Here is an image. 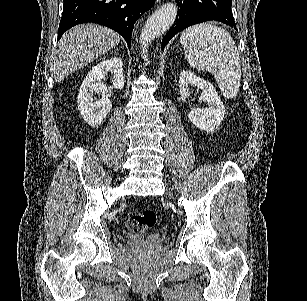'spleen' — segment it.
Masks as SVG:
<instances>
[{"label": "spleen", "instance_id": "3e777b00", "mask_svg": "<svg viewBox=\"0 0 307 301\" xmlns=\"http://www.w3.org/2000/svg\"><path fill=\"white\" fill-rule=\"evenodd\" d=\"M180 42L190 66L209 70L223 96L235 98L240 86L241 64L231 34L221 26L201 22L183 30Z\"/></svg>", "mask_w": 307, "mask_h": 301}]
</instances>
